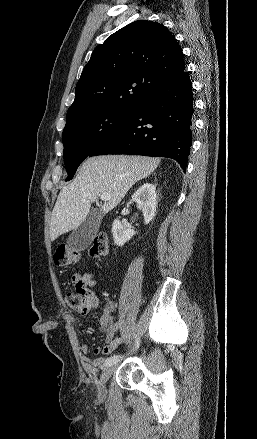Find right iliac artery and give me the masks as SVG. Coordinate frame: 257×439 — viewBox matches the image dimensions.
Masks as SVG:
<instances>
[{
  "mask_svg": "<svg viewBox=\"0 0 257 439\" xmlns=\"http://www.w3.org/2000/svg\"><path fill=\"white\" fill-rule=\"evenodd\" d=\"M138 346H139V341H138V339H137V340H136V343H135V349H137ZM120 358H121L120 355H113V356H110V357H108V358L105 360L104 366H110V365H112V364H115L116 362L119 361Z\"/></svg>",
  "mask_w": 257,
  "mask_h": 439,
  "instance_id": "right-iliac-artery-1",
  "label": "right iliac artery"
}]
</instances>
